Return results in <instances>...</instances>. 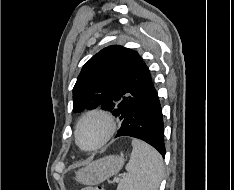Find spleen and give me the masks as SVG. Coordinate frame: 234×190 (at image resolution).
<instances>
[{
    "label": "spleen",
    "mask_w": 234,
    "mask_h": 190,
    "mask_svg": "<svg viewBox=\"0 0 234 190\" xmlns=\"http://www.w3.org/2000/svg\"><path fill=\"white\" fill-rule=\"evenodd\" d=\"M127 173L117 190H158L164 175V164L158 151L144 141L132 140Z\"/></svg>",
    "instance_id": "obj_1"
}]
</instances>
